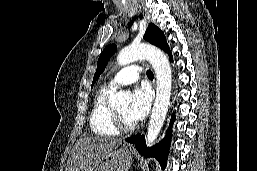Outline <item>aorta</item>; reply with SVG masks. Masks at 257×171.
<instances>
[{
    "mask_svg": "<svg viewBox=\"0 0 257 171\" xmlns=\"http://www.w3.org/2000/svg\"><path fill=\"white\" fill-rule=\"evenodd\" d=\"M139 59H146L151 63L157 78V93L146 135V143L151 146L163 126L168 111L172 72L167 56L160 49L149 44H132L123 48L117 56L119 65H127ZM129 102V95L123 91H119L112 98L114 105L128 104Z\"/></svg>",
    "mask_w": 257,
    "mask_h": 171,
    "instance_id": "aorta-1",
    "label": "aorta"
}]
</instances>
